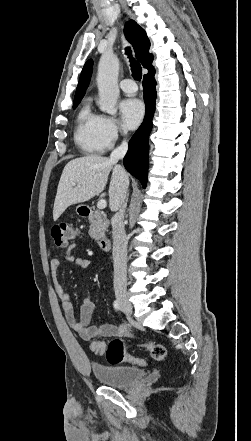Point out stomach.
<instances>
[{
    "label": "stomach",
    "instance_id": "obj_1",
    "mask_svg": "<svg viewBox=\"0 0 251 441\" xmlns=\"http://www.w3.org/2000/svg\"><path fill=\"white\" fill-rule=\"evenodd\" d=\"M82 207H84V206H83V205H78V206L76 207V212H77L78 214H80L79 211L82 209Z\"/></svg>",
    "mask_w": 251,
    "mask_h": 441
}]
</instances>
